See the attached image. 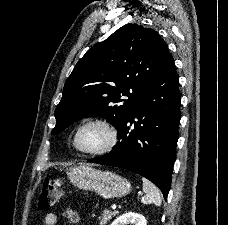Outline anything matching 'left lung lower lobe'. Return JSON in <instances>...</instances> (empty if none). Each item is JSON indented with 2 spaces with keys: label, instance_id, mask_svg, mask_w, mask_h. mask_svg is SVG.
<instances>
[{
  "label": "left lung lower lobe",
  "instance_id": "1",
  "mask_svg": "<svg viewBox=\"0 0 228 225\" xmlns=\"http://www.w3.org/2000/svg\"><path fill=\"white\" fill-rule=\"evenodd\" d=\"M180 101L172 57L121 120L117 127L120 140L113 150L88 162L138 173L153 182L166 200L176 156Z\"/></svg>",
  "mask_w": 228,
  "mask_h": 225
}]
</instances>
